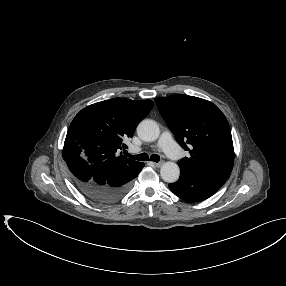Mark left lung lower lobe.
Listing matches in <instances>:
<instances>
[{
  "instance_id": "1",
  "label": "left lung lower lobe",
  "mask_w": 286,
  "mask_h": 286,
  "mask_svg": "<svg viewBox=\"0 0 286 286\" xmlns=\"http://www.w3.org/2000/svg\"><path fill=\"white\" fill-rule=\"evenodd\" d=\"M223 185L206 177L180 169V178L169 184L170 190L188 202L203 201L216 193Z\"/></svg>"
}]
</instances>
